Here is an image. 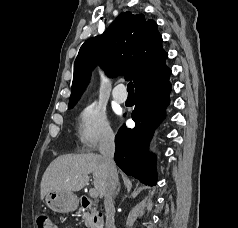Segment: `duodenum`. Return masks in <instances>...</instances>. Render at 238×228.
I'll use <instances>...</instances> for the list:
<instances>
[{
    "label": "duodenum",
    "mask_w": 238,
    "mask_h": 228,
    "mask_svg": "<svg viewBox=\"0 0 238 228\" xmlns=\"http://www.w3.org/2000/svg\"><path fill=\"white\" fill-rule=\"evenodd\" d=\"M91 201L89 198L87 197H83L81 199V205H83L84 207H88L90 205Z\"/></svg>",
    "instance_id": "duodenum-1"
}]
</instances>
